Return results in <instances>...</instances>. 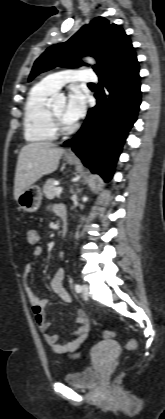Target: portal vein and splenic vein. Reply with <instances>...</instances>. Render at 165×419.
Wrapping results in <instances>:
<instances>
[{
	"instance_id": "1",
	"label": "portal vein and splenic vein",
	"mask_w": 165,
	"mask_h": 419,
	"mask_svg": "<svg viewBox=\"0 0 165 419\" xmlns=\"http://www.w3.org/2000/svg\"><path fill=\"white\" fill-rule=\"evenodd\" d=\"M62 190H63V188L62 187H58V188H56V194L57 195H59V194H61L62 193Z\"/></svg>"
}]
</instances>
